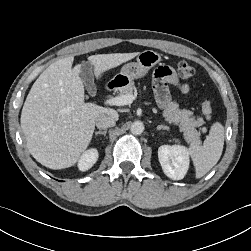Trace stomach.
<instances>
[{"label":"stomach","instance_id":"1","mask_svg":"<svg viewBox=\"0 0 251 251\" xmlns=\"http://www.w3.org/2000/svg\"><path fill=\"white\" fill-rule=\"evenodd\" d=\"M161 61V56L153 50H145L138 54L136 62L125 64L113 81L120 88L133 80L145 76L148 71Z\"/></svg>","mask_w":251,"mask_h":251}]
</instances>
